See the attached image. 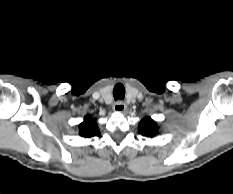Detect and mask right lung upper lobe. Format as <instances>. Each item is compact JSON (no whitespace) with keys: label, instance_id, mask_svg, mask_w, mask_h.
<instances>
[{"label":"right lung upper lobe","instance_id":"obj_1","mask_svg":"<svg viewBox=\"0 0 233 194\" xmlns=\"http://www.w3.org/2000/svg\"><path fill=\"white\" fill-rule=\"evenodd\" d=\"M79 129L80 136L85 138L98 136L100 134L97 123L90 115L84 118V121L79 125Z\"/></svg>","mask_w":233,"mask_h":194}]
</instances>
